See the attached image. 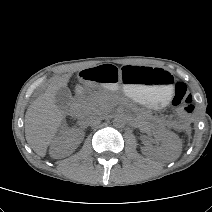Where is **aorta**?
I'll use <instances>...</instances> for the list:
<instances>
[{
  "label": "aorta",
  "instance_id": "762f6f07",
  "mask_svg": "<svg viewBox=\"0 0 212 212\" xmlns=\"http://www.w3.org/2000/svg\"><path fill=\"white\" fill-rule=\"evenodd\" d=\"M113 125L116 128H122L126 125V118L123 115H116L113 120Z\"/></svg>",
  "mask_w": 212,
  "mask_h": 212
}]
</instances>
